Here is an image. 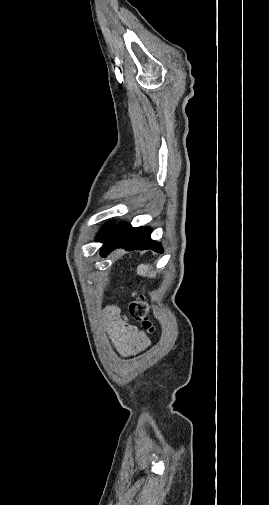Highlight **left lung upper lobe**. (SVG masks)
I'll return each mask as SVG.
<instances>
[{
    "label": "left lung upper lobe",
    "mask_w": 269,
    "mask_h": 505,
    "mask_svg": "<svg viewBox=\"0 0 269 505\" xmlns=\"http://www.w3.org/2000/svg\"><path fill=\"white\" fill-rule=\"evenodd\" d=\"M113 225H114V222H111V223L107 224L101 230V232L98 234V241H101L108 234V232L111 230V228L113 227Z\"/></svg>",
    "instance_id": "1"
}]
</instances>
